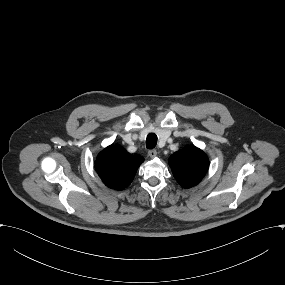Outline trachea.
I'll return each mask as SVG.
<instances>
[{
    "label": "trachea",
    "instance_id": "obj_1",
    "mask_svg": "<svg viewBox=\"0 0 285 285\" xmlns=\"http://www.w3.org/2000/svg\"><path fill=\"white\" fill-rule=\"evenodd\" d=\"M157 136L154 133H150L146 138L147 149H153L157 144Z\"/></svg>",
    "mask_w": 285,
    "mask_h": 285
}]
</instances>
